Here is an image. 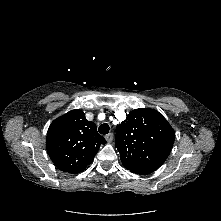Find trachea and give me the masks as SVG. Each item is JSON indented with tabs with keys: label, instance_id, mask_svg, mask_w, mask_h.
Returning <instances> with one entry per match:
<instances>
[{
	"label": "trachea",
	"instance_id": "1",
	"mask_svg": "<svg viewBox=\"0 0 221 221\" xmlns=\"http://www.w3.org/2000/svg\"><path fill=\"white\" fill-rule=\"evenodd\" d=\"M109 125L107 123H103L99 126L98 131L100 134H107L109 132Z\"/></svg>",
	"mask_w": 221,
	"mask_h": 221
}]
</instances>
